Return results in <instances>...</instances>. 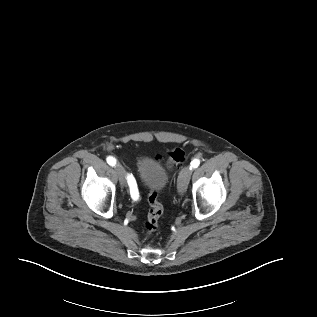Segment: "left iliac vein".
Returning <instances> with one entry per match:
<instances>
[{
    "label": "left iliac vein",
    "instance_id": "obj_1",
    "mask_svg": "<svg viewBox=\"0 0 317 317\" xmlns=\"http://www.w3.org/2000/svg\"><path fill=\"white\" fill-rule=\"evenodd\" d=\"M191 174H192V170L189 166L184 167L179 173L178 181H177V189L179 194L182 195L186 191Z\"/></svg>",
    "mask_w": 317,
    "mask_h": 317
}]
</instances>
